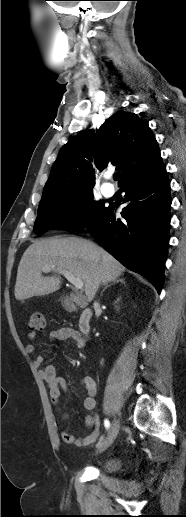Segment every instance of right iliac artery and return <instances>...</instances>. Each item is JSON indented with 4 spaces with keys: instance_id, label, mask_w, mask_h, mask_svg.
I'll return each mask as SVG.
<instances>
[{
    "instance_id": "1",
    "label": "right iliac artery",
    "mask_w": 186,
    "mask_h": 517,
    "mask_svg": "<svg viewBox=\"0 0 186 517\" xmlns=\"http://www.w3.org/2000/svg\"><path fill=\"white\" fill-rule=\"evenodd\" d=\"M104 425H105V427L108 429V428L110 427V422H109V420L105 419V420H104Z\"/></svg>"
}]
</instances>
